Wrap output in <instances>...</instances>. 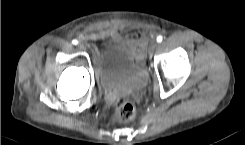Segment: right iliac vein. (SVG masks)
Returning a JSON list of instances; mask_svg holds the SVG:
<instances>
[{
    "label": "right iliac vein",
    "mask_w": 245,
    "mask_h": 145,
    "mask_svg": "<svg viewBox=\"0 0 245 145\" xmlns=\"http://www.w3.org/2000/svg\"><path fill=\"white\" fill-rule=\"evenodd\" d=\"M77 47L80 49V50H83L85 48V46L82 44V43H78L77 44Z\"/></svg>",
    "instance_id": "63e3f726"
}]
</instances>
